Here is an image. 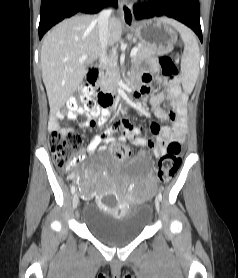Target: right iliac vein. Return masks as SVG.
Here are the masks:
<instances>
[{
    "instance_id": "63e3f726",
    "label": "right iliac vein",
    "mask_w": 238,
    "mask_h": 278,
    "mask_svg": "<svg viewBox=\"0 0 238 278\" xmlns=\"http://www.w3.org/2000/svg\"><path fill=\"white\" fill-rule=\"evenodd\" d=\"M79 205V197H78V194H74L73 196V207L76 209Z\"/></svg>"
}]
</instances>
